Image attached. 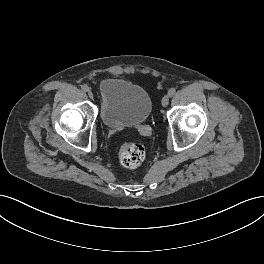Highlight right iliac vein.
<instances>
[{
	"label": "right iliac vein",
	"instance_id": "63e3f726",
	"mask_svg": "<svg viewBox=\"0 0 264 264\" xmlns=\"http://www.w3.org/2000/svg\"><path fill=\"white\" fill-rule=\"evenodd\" d=\"M88 95H89V97L91 98V99H93V92L92 91H88Z\"/></svg>",
	"mask_w": 264,
	"mask_h": 264
}]
</instances>
